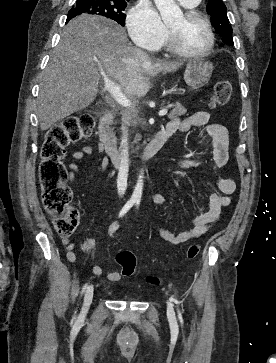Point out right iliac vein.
<instances>
[{
  "label": "right iliac vein",
  "mask_w": 276,
  "mask_h": 363,
  "mask_svg": "<svg viewBox=\"0 0 276 363\" xmlns=\"http://www.w3.org/2000/svg\"><path fill=\"white\" fill-rule=\"evenodd\" d=\"M93 294H94V287H93V285H89L84 294L83 306H82V310L79 315L80 318H84L86 316L88 309L90 307V304L92 302V299H93Z\"/></svg>",
  "instance_id": "1"
}]
</instances>
